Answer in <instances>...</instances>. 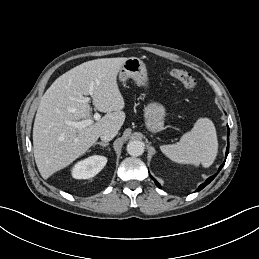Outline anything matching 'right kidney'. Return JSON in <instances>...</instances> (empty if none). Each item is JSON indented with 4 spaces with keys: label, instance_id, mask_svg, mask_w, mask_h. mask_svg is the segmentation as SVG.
Here are the masks:
<instances>
[{
    "label": "right kidney",
    "instance_id": "1",
    "mask_svg": "<svg viewBox=\"0 0 259 259\" xmlns=\"http://www.w3.org/2000/svg\"><path fill=\"white\" fill-rule=\"evenodd\" d=\"M107 158L94 155L78 162L72 169V176L75 179H89L98 174L106 165Z\"/></svg>",
    "mask_w": 259,
    "mask_h": 259
}]
</instances>
